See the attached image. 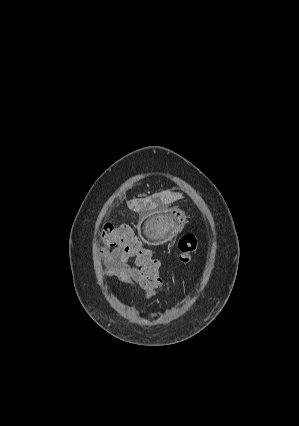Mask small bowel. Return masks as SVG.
<instances>
[{
    "instance_id": "obj_1",
    "label": "small bowel",
    "mask_w": 299,
    "mask_h": 426,
    "mask_svg": "<svg viewBox=\"0 0 299 426\" xmlns=\"http://www.w3.org/2000/svg\"><path fill=\"white\" fill-rule=\"evenodd\" d=\"M122 249L115 248L104 258V274L133 288H140L141 270Z\"/></svg>"
}]
</instances>
